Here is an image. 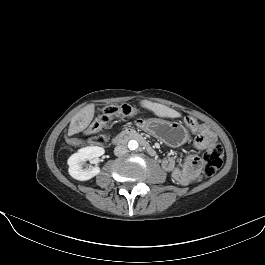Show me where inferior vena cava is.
I'll list each match as a JSON object with an SVG mask.
<instances>
[{"instance_id": "602c4592", "label": "inferior vena cava", "mask_w": 265, "mask_h": 265, "mask_svg": "<svg viewBox=\"0 0 265 265\" xmlns=\"http://www.w3.org/2000/svg\"><path fill=\"white\" fill-rule=\"evenodd\" d=\"M127 153V147L125 145H117L114 148V154L118 157L123 156Z\"/></svg>"}]
</instances>
